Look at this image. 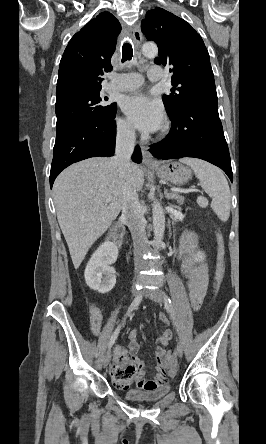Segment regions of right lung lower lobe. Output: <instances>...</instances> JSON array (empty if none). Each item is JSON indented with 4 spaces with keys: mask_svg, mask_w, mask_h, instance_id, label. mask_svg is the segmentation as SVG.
I'll return each instance as SVG.
<instances>
[{
    "mask_svg": "<svg viewBox=\"0 0 266 444\" xmlns=\"http://www.w3.org/2000/svg\"><path fill=\"white\" fill-rule=\"evenodd\" d=\"M115 115L104 121L73 129L56 139L50 171V187L55 178L69 165L96 156H113L115 151ZM132 160L142 161L139 146L135 148Z\"/></svg>",
    "mask_w": 266,
    "mask_h": 444,
    "instance_id": "98d812e1",
    "label": "right lung lower lobe"
}]
</instances>
